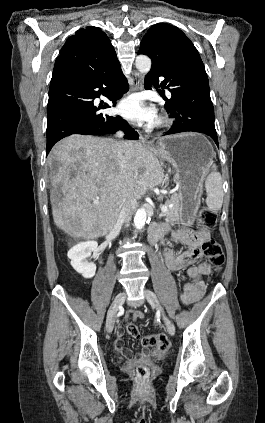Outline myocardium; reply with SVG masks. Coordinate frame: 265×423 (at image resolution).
<instances>
[{"instance_id": "myocardium-1", "label": "myocardium", "mask_w": 265, "mask_h": 423, "mask_svg": "<svg viewBox=\"0 0 265 423\" xmlns=\"http://www.w3.org/2000/svg\"><path fill=\"white\" fill-rule=\"evenodd\" d=\"M168 125H169V121L164 116H159L154 122V127L157 129L166 128Z\"/></svg>"}]
</instances>
